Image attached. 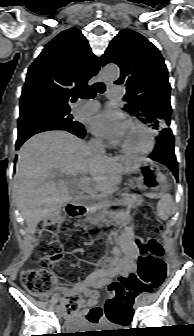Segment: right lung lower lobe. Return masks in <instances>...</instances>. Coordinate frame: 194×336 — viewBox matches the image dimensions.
<instances>
[{
  "instance_id": "1",
  "label": "right lung lower lobe",
  "mask_w": 194,
  "mask_h": 336,
  "mask_svg": "<svg viewBox=\"0 0 194 336\" xmlns=\"http://www.w3.org/2000/svg\"><path fill=\"white\" fill-rule=\"evenodd\" d=\"M80 138H83L86 134L85 130H84V127H82L81 129H78V130H66ZM43 132V131H42ZM39 133V132H37ZM34 134L36 133H33V134H27V135H22L20 137H18L17 139V142H16V150H18L20 148V146L27 140L29 139L31 136H33Z\"/></svg>"
}]
</instances>
